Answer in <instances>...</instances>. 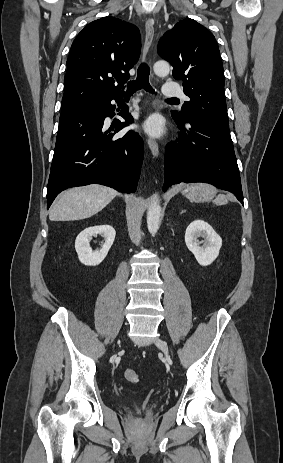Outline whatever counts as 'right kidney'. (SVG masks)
<instances>
[{"label": "right kidney", "instance_id": "obj_1", "mask_svg": "<svg viewBox=\"0 0 283 463\" xmlns=\"http://www.w3.org/2000/svg\"><path fill=\"white\" fill-rule=\"evenodd\" d=\"M101 235L105 243L99 251H93L90 247V238L94 235ZM115 230L110 225H100L86 228L76 238L75 249L80 262L86 266L99 265L111 248L115 239Z\"/></svg>", "mask_w": 283, "mask_h": 463}]
</instances>
